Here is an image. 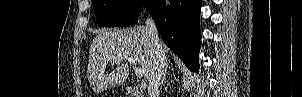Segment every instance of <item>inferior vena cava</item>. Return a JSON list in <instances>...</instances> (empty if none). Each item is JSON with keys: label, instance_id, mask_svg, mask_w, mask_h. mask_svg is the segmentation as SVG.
<instances>
[{"label": "inferior vena cava", "instance_id": "602c4592", "mask_svg": "<svg viewBox=\"0 0 302 97\" xmlns=\"http://www.w3.org/2000/svg\"><path fill=\"white\" fill-rule=\"evenodd\" d=\"M146 32L151 38L153 63L149 75V97H159L162 76L166 66V51L160 40L156 25L152 18L146 19Z\"/></svg>", "mask_w": 302, "mask_h": 97}]
</instances>
